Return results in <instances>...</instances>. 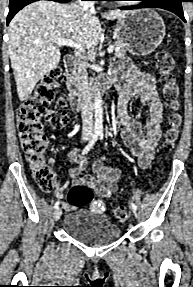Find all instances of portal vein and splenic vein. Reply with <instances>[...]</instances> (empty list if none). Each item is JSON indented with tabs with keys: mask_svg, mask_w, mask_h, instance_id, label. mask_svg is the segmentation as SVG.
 I'll use <instances>...</instances> for the list:
<instances>
[{
	"mask_svg": "<svg viewBox=\"0 0 193 287\" xmlns=\"http://www.w3.org/2000/svg\"><path fill=\"white\" fill-rule=\"evenodd\" d=\"M53 42H55L57 45L59 46H68V47H72L75 48L81 52H85V50L83 49V47L77 43H75L74 41L70 40V39H66V38H59V39H53ZM114 50V47L111 45L108 47V52L112 53Z\"/></svg>",
	"mask_w": 193,
	"mask_h": 287,
	"instance_id": "1",
	"label": "portal vein and splenic vein"
}]
</instances>
